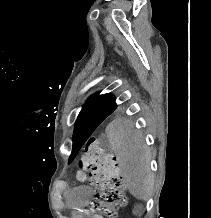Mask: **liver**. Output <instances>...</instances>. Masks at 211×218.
Here are the masks:
<instances>
[{
    "mask_svg": "<svg viewBox=\"0 0 211 218\" xmlns=\"http://www.w3.org/2000/svg\"><path fill=\"white\" fill-rule=\"evenodd\" d=\"M118 162L124 186L137 200H147L154 188L150 174V152L145 146L142 132L134 130V122L116 118L105 130Z\"/></svg>",
    "mask_w": 211,
    "mask_h": 218,
    "instance_id": "liver-1",
    "label": "liver"
}]
</instances>
